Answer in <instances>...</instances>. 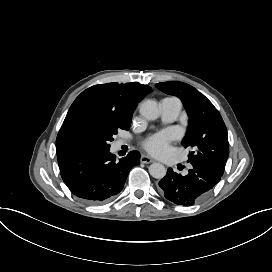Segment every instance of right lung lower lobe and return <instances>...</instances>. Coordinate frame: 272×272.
Segmentation results:
<instances>
[{
    "label": "right lung lower lobe",
    "mask_w": 272,
    "mask_h": 272,
    "mask_svg": "<svg viewBox=\"0 0 272 272\" xmlns=\"http://www.w3.org/2000/svg\"><path fill=\"white\" fill-rule=\"evenodd\" d=\"M60 174L73 195L87 204L104 203L123 188L140 154L131 151L116 161L109 149L72 150L57 155Z\"/></svg>",
    "instance_id": "right-lung-lower-lobe-1"
}]
</instances>
